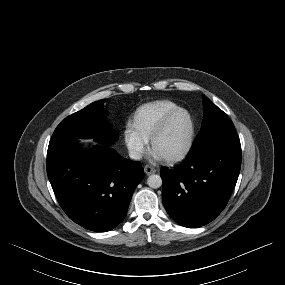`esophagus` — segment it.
Masks as SVG:
<instances>
[{"label": "esophagus", "instance_id": "1", "mask_svg": "<svg viewBox=\"0 0 285 285\" xmlns=\"http://www.w3.org/2000/svg\"><path fill=\"white\" fill-rule=\"evenodd\" d=\"M144 172L147 174V175H150V174H154L156 172V169L150 165H145L144 166Z\"/></svg>", "mask_w": 285, "mask_h": 285}]
</instances>
